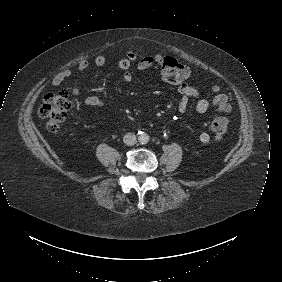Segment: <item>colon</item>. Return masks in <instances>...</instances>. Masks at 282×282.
Returning <instances> with one entry per match:
<instances>
[{
    "label": "colon",
    "mask_w": 282,
    "mask_h": 282,
    "mask_svg": "<svg viewBox=\"0 0 282 282\" xmlns=\"http://www.w3.org/2000/svg\"><path fill=\"white\" fill-rule=\"evenodd\" d=\"M158 68L162 75L170 82L181 84L186 82L192 72L184 64L174 58L163 56L157 58ZM217 106L224 111L230 109V103L215 87L211 88ZM72 107V101L67 93L61 89L47 93L38 109V114L44 120L48 130L56 132L64 122L66 113ZM211 131L216 137L224 136L228 131V121L224 117L216 116L211 123Z\"/></svg>",
    "instance_id": "5ec220e1"
}]
</instances>
